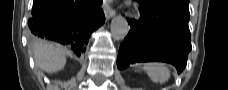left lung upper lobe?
I'll use <instances>...</instances> for the list:
<instances>
[{
    "mask_svg": "<svg viewBox=\"0 0 228 90\" xmlns=\"http://www.w3.org/2000/svg\"><path fill=\"white\" fill-rule=\"evenodd\" d=\"M173 8L189 11V0H169ZM182 1V2H181Z\"/></svg>",
    "mask_w": 228,
    "mask_h": 90,
    "instance_id": "left-lung-upper-lobe-1",
    "label": "left lung upper lobe"
}]
</instances>
